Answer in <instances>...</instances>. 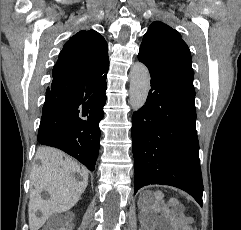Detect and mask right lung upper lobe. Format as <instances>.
<instances>
[{"label": "right lung upper lobe", "instance_id": "cb5924a9", "mask_svg": "<svg viewBox=\"0 0 241 230\" xmlns=\"http://www.w3.org/2000/svg\"><path fill=\"white\" fill-rule=\"evenodd\" d=\"M108 45L94 30L80 31L67 41L59 54L57 68L84 75L106 76L109 67Z\"/></svg>", "mask_w": 241, "mask_h": 230}]
</instances>
